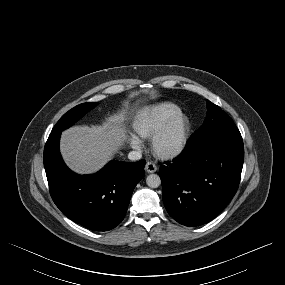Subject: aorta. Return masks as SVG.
Listing matches in <instances>:
<instances>
[{"mask_svg":"<svg viewBox=\"0 0 285 285\" xmlns=\"http://www.w3.org/2000/svg\"><path fill=\"white\" fill-rule=\"evenodd\" d=\"M146 183L151 188H157L161 184V179L157 174H150L146 178Z\"/></svg>","mask_w":285,"mask_h":285,"instance_id":"aorta-1","label":"aorta"}]
</instances>
